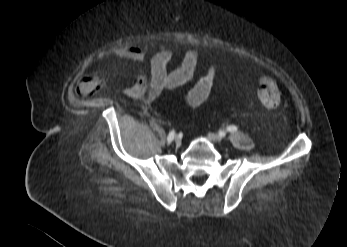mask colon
<instances>
[{
    "label": "colon",
    "mask_w": 347,
    "mask_h": 247,
    "mask_svg": "<svg viewBox=\"0 0 347 247\" xmlns=\"http://www.w3.org/2000/svg\"><path fill=\"white\" fill-rule=\"evenodd\" d=\"M279 81L272 74H263L257 79L256 97L268 107L275 108L280 103Z\"/></svg>",
    "instance_id": "1"
}]
</instances>
